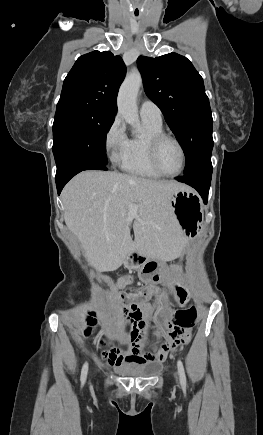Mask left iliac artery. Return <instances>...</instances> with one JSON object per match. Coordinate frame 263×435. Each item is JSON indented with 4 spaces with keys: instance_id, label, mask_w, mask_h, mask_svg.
Returning <instances> with one entry per match:
<instances>
[{
    "instance_id": "44dca946",
    "label": "left iliac artery",
    "mask_w": 263,
    "mask_h": 435,
    "mask_svg": "<svg viewBox=\"0 0 263 435\" xmlns=\"http://www.w3.org/2000/svg\"><path fill=\"white\" fill-rule=\"evenodd\" d=\"M177 368H178V373H179V377H180V383L182 386H186V376H185L183 363L181 362V360L177 361Z\"/></svg>"
}]
</instances>
